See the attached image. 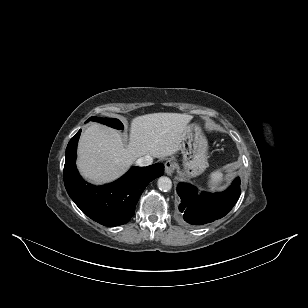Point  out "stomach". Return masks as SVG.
I'll return each mask as SVG.
<instances>
[{"label": "stomach", "mask_w": 308, "mask_h": 308, "mask_svg": "<svg viewBox=\"0 0 308 308\" xmlns=\"http://www.w3.org/2000/svg\"><path fill=\"white\" fill-rule=\"evenodd\" d=\"M180 150L183 155L184 176L193 178L205 171L208 166V143L197 125L187 126Z\"/></svg>", "instance_id": "stomach-1"}]
</instances>
